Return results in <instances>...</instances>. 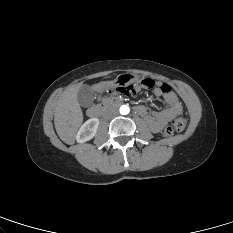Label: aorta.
Segmentation results:
<instances>
[{"label": "aorta", "mask_w": 233, "mask_h": 233, "mask_svg": "<svg viewBox=\"0 0 233 233\" xmlns=\"http://www.w3.org/2000/svg\"><path fill=\"white\" fill-rule=\"evenodd\" d=\"M119 111H120V114L127 115L130 112V108L127 105H122Z\"/></svg>", "instance_id": "aorta-1"}]
</instances>
